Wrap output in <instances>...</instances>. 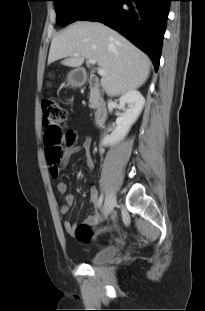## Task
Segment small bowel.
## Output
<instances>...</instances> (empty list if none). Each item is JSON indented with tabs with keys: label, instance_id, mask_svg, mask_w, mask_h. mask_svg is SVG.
<instances>
[{
	"label": "small bowel",
	"instance_id": "1",
	"mask_svg": "<svg viewBox=\"0 0 205 311\" xmlns=\"http://www.w3.org/2000/svg\"><path fill=\"white\" fill-rule=\"evenodd\" d=\"M90 149H91V139L88 136H85L81 142L80 145L74 146V147H70L67 149L66 153H65V160L64 162H66L72 155L80 152V151H84L86 156H87V168L88 170H92L94 167V162H93V158L91 156L90 153ZM50 173L51 176L53 178H57L58 177V170L55 168H50ZM56 189L58 191L59 194H61V196L63 197V204L61 206V211L62 213H66L69 209V207L74 203L75 197L73 194L69 193L67 190V184L63 181H57L56 182ZM90 201L93 203L94 205V212L92 214H90L86 220L85 223L89 224V225H95L98 223L99 219H100V215L98 212V192L97 189L93 186L90 189ZM64 225V229L70 233L73 234L74 229L76 228V224L71 223L70 221H65L63 223Z\"/></svg>",
	"mask_w": 205,
	"mask_h": 311
}]
</instances>
